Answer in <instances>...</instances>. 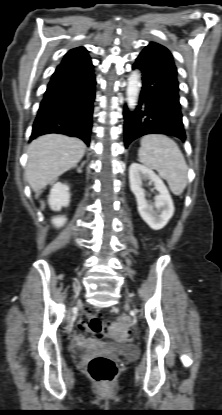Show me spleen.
Wrapping results in <instances>:
<instances>
[{"label": "spleen", "instance_id": "3e777b00", "mask_svg": "<svg viewBox=\"0 0 222 415\" xmlns=\"http://www.w3.org/2000/svg\"><path fill=\"white\" fill-rule=\"evenodd\" d=\"M139 159L167 181L173 194L183 193L188 180V167L175 141L165 135H146L141 139Z\"/></svg>", "mask_w": 222, "mask_h": 415}]
</instances>
